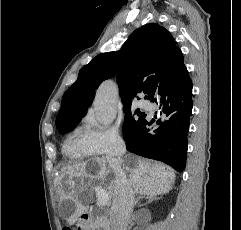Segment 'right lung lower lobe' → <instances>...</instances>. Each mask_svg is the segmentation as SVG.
<instances>
[{
	"mask_svg": "<svg viewBox=\"0 0 241 230\" xmlns=\"http://www.w3.org/2000/svg\"><path fill=\"white\" fill-rule=\"evenodd\" d=\"M192 87L184 64L167 74L148 99L160 103L159 114L163 121L145 115L125 140L127 150L162 161L182 172L186 165L187 135L193 108Z\"/></svg>",
	"mask_w": 241,
	"mask_h": 230,
	"instance_id": "1",
	"label": "right lung lower lobe"
}]
</instances>
